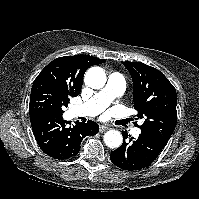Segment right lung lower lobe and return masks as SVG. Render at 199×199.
<instances>
[{
  "instance_id": "right-lung-lower-lobe-1",
  "label": "right lung lower lobe",
  "mask_w": 199,
  "mask_h": 199,
  "mask_svg": "<svg viewBox=\"0 0 199 199\" xmlns=\"http://www.w3.org/2000/svg\"><path fill=\"white\" fill-rule=\"evenodd\" d=\"M30 121L35 139L48 156L65 160L78 154L84 137L93 136L99 126L93 121L70 126L62 115L37 111L30 113Z\"/></svg>"
}]
</instances>
